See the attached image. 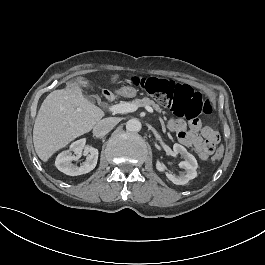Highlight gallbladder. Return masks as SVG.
I'll use <instances>...</instances> for the list:
<instances>
[{"label": "gallbladder", "instance_id": "1", "mask_svg": "<svg viewBox=\"0 0 265 265\" xmlns=\"http://www.w3.org/2000/svg\"><path fill=\"white\" fill-rule=\"evenodd\" d=\"M77 82H78L80 85H83V84L86 82V79H85L83 76H80V77L77 79ZM86 98H87L89 101L94 102V99H93L92 96L87 95Z\"/></svg>", "mask_w": 265, "mask_h": 265}]
</instances>
